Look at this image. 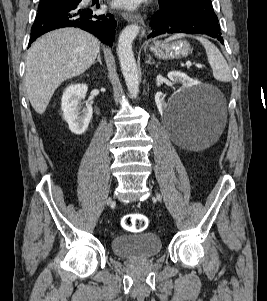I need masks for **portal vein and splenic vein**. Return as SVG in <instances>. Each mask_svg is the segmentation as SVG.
Segmentation results:
<instances>
[{"label":"portal vein and splenic vein","mask_w":267,"mask_h":301,"mask_svg":"<svg viewBox=\"0 0 267 301\" xmlns=\"http://www.w3.org/2000/svg\"><path fill=\"white\" fill-rule=\"evenodd\" d=\"M186 65H187V67H190V66H191V63H190V62H187ZM196 67L202 68L203 65L198 63V64H196Z\"/></svg>","instance_id":"obj_1"}]
</instances>
